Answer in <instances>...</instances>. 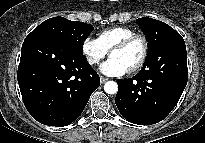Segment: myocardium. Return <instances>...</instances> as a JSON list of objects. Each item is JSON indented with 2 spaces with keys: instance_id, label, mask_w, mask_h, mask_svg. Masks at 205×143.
<instances>
[{
  "instance_id": "obj_1",
  "label": "myocardium",
  "mask_w": 205,
  "mask_h": 143,
  "mask_svg": "<svg viewBox=\"0 0 205 143\" xmlns=\"http://www.w3.org/2000/svg\"><path fill=\"white\" fill-rule=\"evenodd\" d=\"M135 41H140L141 42V44H142V54H141L140 59L136 62V64H134L128 70L130 73L136 72L139 69H141L143 67V65L145 64L146 60H147V57H148V54H149V42H148L147 38L142 34L135 33V34L121 40L120 42L115 44L110 49V55H111L114 51L123 50V49L127 48L128 46H130Z\"/></svg>"
}]
</instances>
